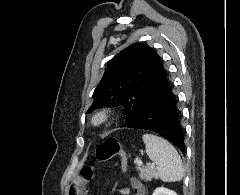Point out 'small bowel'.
Here are the masks:
<instances>
[{"label":"small bowel","instance_id":"obj_1","mask_svg":"<svg viewBox=\"0 0 240 195\" xmlns=\"http://www.w3.org/2000/svg\"><path fill=\"white\" fill-rule=\"evenodd\" d=\"M130 188H122L120 189L121 195H146V189L145 186L142 184V182L136 178L132 177L130 179Z\"/></svg>","mask_w":240,"mask_h":195}]
</instances>
